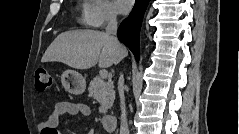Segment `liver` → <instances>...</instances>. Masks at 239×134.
<instances>
[{"instance_id":"6515ba94","label":"liver","mask_w":239,"mask_h":134,"mask_svg":"<svg viewBox=\"0 0 239 134\" xmlns=\"http://www.w3.org/2000/svg\"><path fill=\"white\" fill-rule=\"evenodd\" d=\"M128 54L121 44L96 30H75L59 34L45 51L42 62H61L75 69L117 64Z\"/></svg>"}]
</instances>
